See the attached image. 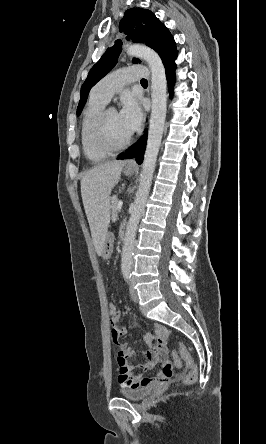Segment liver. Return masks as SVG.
Here are the masks:
<instances>
[{
    "mask_svg": "<svg viewBox=\"0 0 266 444\" xmlns=\"http://www.w3.org/2000/svg\"><path fill=\"white\" fill-rule=\"evenodd\" d=\"M124 165V161L106 162L89 170L81 180L82 201L98 255H102L110 223V194Z\"/></svg>",
    "mask_w": 266,
    "mask_h": 444,
    "instance_id": "obj_1",
    "label": "liver"
}]
</instances>
